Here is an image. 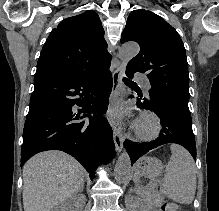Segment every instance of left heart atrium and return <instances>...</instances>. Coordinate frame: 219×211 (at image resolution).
Listing matches in <instances>:
<instances>
[{"label": "left heart atrium", "instance_id": "left-heart-atrium-1", "mask_svg": "<svg viewBox=\"0 0 219 211\" xmlns=\"http://www.w3.org/2000/svg\"><path fill=\"white\" fill-rule=\"evenodd\" d=\"M122 114H123V107L121 105L115 106L110 112V115L113 117H120Z\"/></svg>", "mask_w": 219, "mask_h": 211}]
</instances>
